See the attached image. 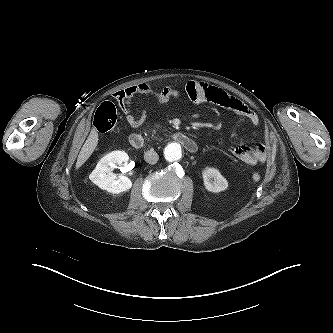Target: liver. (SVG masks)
Instances as JSON below:
<instances>
[{
  "instance_id": "1",
  "label": "liver",
  "mask_w": 333,
  "mask_h": 333,
  "mask_svg": "<svg viewBox=\"0 0 333 333\" xmlns=\"http://www.w3.org/2000/svg\"><path fill=\"white\" fill-rule=\"evenodd\" d=\"M98 144V133L96 129H92L87 140L85 141L76 162V169L80 168L92 155Z\"/></svg>"
}]
</instances>
